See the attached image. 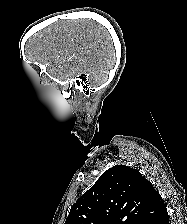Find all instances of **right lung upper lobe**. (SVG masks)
Segmentation results:
<instances>
[{
    "mask_svg": "<svg viewBox=\"0 0 187 224\" xmlns=\"http://www.w3.org/2000/svg\"><path fill=\"white\" fill-rule=\"evenodd\" d=\"M166 214L150 181L135 169L116 165L73 204L65 224H156Z\"/></svg>",
    "mask_w": 187,
    "mask_h": 224,
    "instance_id": "cb5924a9",
    "label": "right lung upper lobe"
}]
</instances>
